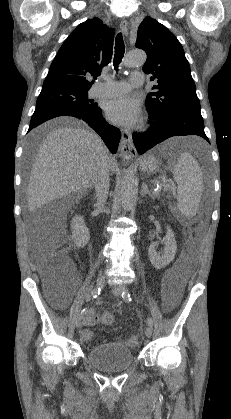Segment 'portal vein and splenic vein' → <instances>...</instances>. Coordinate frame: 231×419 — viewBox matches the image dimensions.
Instances as JSON below:
<instances>
[{
	"mask_svg": "<svg viewBox=\"0 0 231 419\" xmlns=\"http://www.w3.org/2000/svg\"><path fill=\"white\" fill-rule=\"evenodd\" d=\"M162 183L164 184V189L165 190H170L172 188L169 184H167L166 180H162Z\"/></svg>",
	"mask_w": 231,
	"mask_h": 419,
	"instance_id": "portal-vein-and-splenic-vein-1",
	"label": "portal vein and splenic vein"
}]
</instances>
